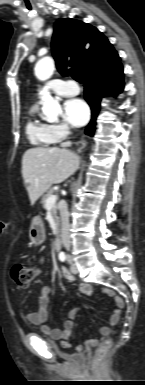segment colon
<instances>
[{
  "label": "colon",
  "instance_id": "5ec220e1",
  "mask_svg": "<svg viewBox=\"0 0 145 385\" xmlns=\"http://www.w3.org/2000/svg\"><path fill=\"white\" fill-rule=\"evenodd\" d=\"M35 274L34 267L29 263H16L12 269V277L20 287H27ZM111 347V340L108 338L99 345L96 351V364H100L106 357Z\"/></svg>",
  "mask_w": 145,
  "mask_h": 385
}]
</instances>
